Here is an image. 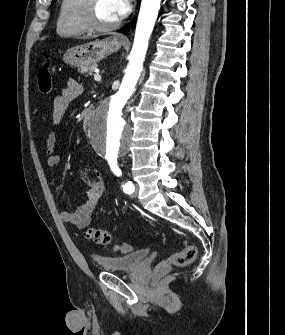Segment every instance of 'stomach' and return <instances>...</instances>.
Returning a JSON list of instances; mask_svg holds the SVG:
<instances>
[{
  "instance_id": "0dacf381",
  "label": "stomach",
  "mask_w": 285,
  "mask_h": 335,
  "mask_svg": "<svg viewBox=\"0 0 285 335\" xmlns=\"http://www.w3.org/2000/svg\"><path fill=\"white\" fill-rule=\"evenodd\" d=\"M121 46V42L115 40V38L88 42V44H83V46H74V48L66 50L63 54V62L69 64L72 68H83V66L97 64L100 60H104L106 56H111L114 52H118Z\"/></svg>"
}]
</instances>
